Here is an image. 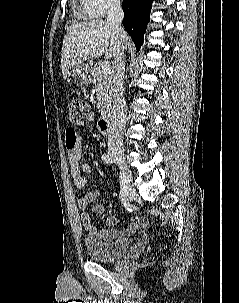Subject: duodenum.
I'll return each mask as SVG.
<instances>
[{
  "label": "duodenum",
  "instance_id": "obj_1",
  "mask_svg": "<svg viewBox=\"0 0 239 303\" xmlns=\"http://www.w3.org/2000/svg\"><path fill=\"white\" fill-rule=\"evenodd\" d=\"M98 126L102 133L108 134L112 129V116L110 113H104L98 120Z\"/></svg>",
  "mask_w": 239,
  "mask_h": 303
}]
</instances>
